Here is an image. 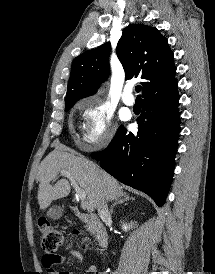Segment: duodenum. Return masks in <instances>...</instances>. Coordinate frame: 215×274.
Returning a JSON list of instances; mask_svg holds the SVG:
<instances>
[{"label": "duodenum", "instance_id": "obj_1", "mask_svg": "<svg viewBox=\"0 0 215 274\" xmlns=\"http://www.w3.org/2000/svg\"><path fill=\"white\" fill-rule=\"evenodd\" d=\"M75 214L82 222L90 227L99 247L102 249L105 248L108 244V236L98 217L94 214L84 213L79 210H75Z\"/></svg>", "mask_w": 215, "mask_h": 274}]
</instances>
